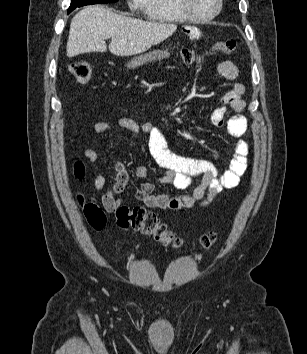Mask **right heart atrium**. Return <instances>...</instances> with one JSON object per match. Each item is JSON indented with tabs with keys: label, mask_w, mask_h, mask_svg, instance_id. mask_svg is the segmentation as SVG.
<instances>
[{
	"label": "right heart atrium",
	"mask_w": 307,
	"mask_h": 354,
	"mask_svg": "<svg viewBox=\"0 0 307 354\" xmlns=\"http://www.w3.org/2000/svg\"><path fill=\"white\" fill-rule=\"evenodd\" d=\"M145 0H128L130 7L132 8H140L143 6V2Z\"/></svg>",
	"instance_id": "d8ad5b80"
}]
</instances>
